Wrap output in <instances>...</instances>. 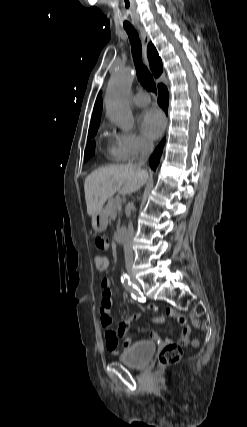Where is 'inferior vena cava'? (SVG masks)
I'll list each match as a JSON object with an SVG mask.
<instances>
[{
    "label": "inferior vena cava",
    "mask_w": 247,
    "mask_h": 427,
    "mask_svg": "<svg viewBox=\"0 0 247 427\" xmlns=\"http://www.w3.org/2000/svg\"><path fill=\"white\" fill-rule=\"evenodd\" d=\"M153 148H154V145L151 141H148V140L141 141L140 158L137 164L138 167L143 166L147 162L150 154L153 151ZM133 236H134V229H133V224L130 221L128 224V230H127L126 240L124 244L125 266L128 272H130L132 269L133 259H134V254L132 249Z\"/></svg>",
    "instance_id": "1"
}]
</instances>
